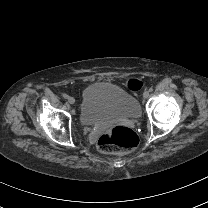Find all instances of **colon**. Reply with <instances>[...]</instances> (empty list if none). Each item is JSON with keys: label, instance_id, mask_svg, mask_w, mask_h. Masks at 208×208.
Wrapping results in <instances>:
<instances>
[{"label": "colon", "instance_id": "colon-1", "mask_svg": "<svg viewBox=\"0 0 208 208\" xmlns=\"http://www.w3.org/2000/svg\"><path fill=\"white\" fill-rule=\"evenodd\" d=\"M144 83L141 80L130 79L126 82L128 91H139ZM139 143V136L128 128L116 126L104 133L99 141L98 148L106 154L121 152L128 153Z\"/></svg>", "mask_w": 208, "mask_h": 208}]
</instances>
